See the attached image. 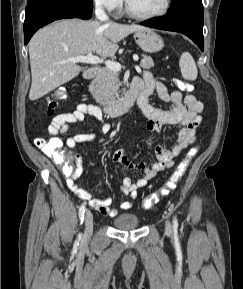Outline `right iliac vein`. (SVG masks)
Returning <instances> with one entry per match:
<instances>
[{
	"instance_id": "obj_1",
	"label": "right iliac vein",
	"mask_w": 243,
	"mask_h": 289,
	"mask_svg": "<svg viewBox=\"0 0 243 289\" xmlns=\"http://www.w3.org/2000/svg\"><path fill=\"white\" fill-rule=\"evenodd\" d=\"M85 233H84V238L88 239L93 230V215L90 211H87L85 214Z\"/></svg>"
}]
</instances>
